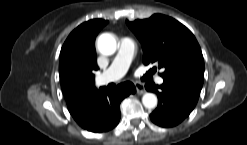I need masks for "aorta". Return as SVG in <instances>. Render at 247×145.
I'll use <instances>...</instances> for the list:
<instances>
[{"instance_id": "obj_1", "label": "aorta", "mask_w": 247, "mask_h": 145, "mask_svg": "<svg viewBox=\"0 0 247 145\" xmlns=\"http://www.w3.org/2000/svg\"><path fill=\"white\" fill-rule=\"evenodd\" d=\"M97 48L103 55H112L117 48V41L114 35L103 33L97 39ZM142 103L145 108L153 109L157 106L158 100L155 94L145 93L142 97Z\"/></svg>"}]
</instances>
